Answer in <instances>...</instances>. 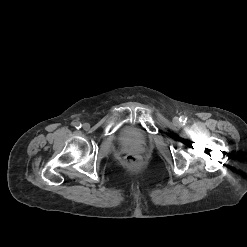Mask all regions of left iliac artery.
<instances>
[{
  "label": "left iliac artery",
  "instance_id": "left-iliac-artery-1",
  "mask_svg": "<svg viewBox=\"0 0 247 247\" xmlns=\"http://www.w3.org/2000/svg\"><path fill=\"white\" fill-rule=\"evenodd\" d=\"M186 120H187V118H186L185 116H181V117H180V121L186 122Z\"/></svg>",
  "mask_w": 247,
  "mask_h": 247
}]
</instances>
